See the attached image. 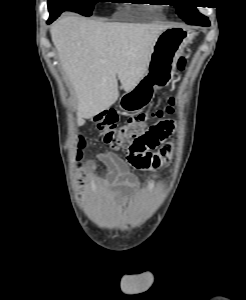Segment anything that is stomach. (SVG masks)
Returning <instances> with one entry per match:
<instances>
[{"instance_id":"1","label":"stomach","mask_w":246,"mask_h":300,"mask_svg":"<svg viewBox=\"0 0 246 300\" xmlns=\"http://www.w3.org/2000/svg\"><path fill=\"white\" fill-rule=\"evenodd\" d=\"M194 36L186 28L169 27L164 30L154 43L145 75L132 90L121 96L119 107L128 112L144 109L153 99L156 89L171 81L176 61Z\"/></svg>"}]
</instances>
